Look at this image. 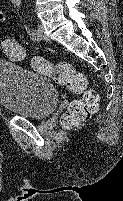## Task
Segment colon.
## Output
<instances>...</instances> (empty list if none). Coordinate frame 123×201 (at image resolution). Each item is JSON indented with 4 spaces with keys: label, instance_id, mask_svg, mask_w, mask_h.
Listing matches in <instances>:
<instances>
[{
    "label": "colon",
    "instance_id": "1",
    "mask_svg": "<svg viewBox=\"0 0 123 201\" xmlns=\"http://www.w3.org/2000/svg\"><path fill=\"white\" fill-rule=\"evenodd\" d=\"M3 53L12 61H22L25 53L22 46L13 38H4L1 43ZM32 67L38 72L51 77L57 84L74 92H83L86 79L68 63L52 64L47 60L37 57L32 62ZM99 107V97L94 91H85L80 100L72 101L61 122L66 128H73L86 122Z\"/></svg>",
    "mask_w": 123,
    "mask_h": 201
}]
</instances>
